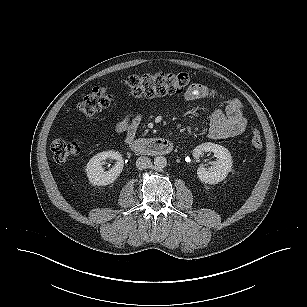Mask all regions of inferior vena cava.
Here are the masks:
<instances>
[{
    "instance_id": "1",
    "label": "inferior vena cava",
    "mask_w": 307,
    "mask_h": 307,
    "mask_svg": "<svg viewBox=\"0 0 307 307\" xmlns=\"http://www.w3.org/2000/svg\"><path fill=\"white\" fill-rule=\"evenodd\" d=\"M136 167L139 170L147 169L152 167L151 159L146 156H141L136 160Z\"/></svg>"
}]
</instances>
